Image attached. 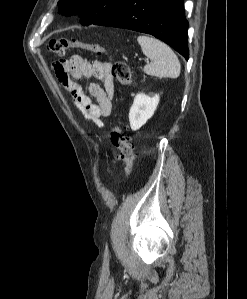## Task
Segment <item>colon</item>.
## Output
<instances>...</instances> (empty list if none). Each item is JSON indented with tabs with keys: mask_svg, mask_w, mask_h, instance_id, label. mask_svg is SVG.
I'll return each instance as SVG.
<instances>
[{
	"mask_svg": "<svg viewBox=\"0 0 247 299\" xmlns=\"http://www.w3.org/2000/svg\"><path fill=\"white\" fill-rule=\"evenodd\" d=\"M70 48H81L97 56L106 54V50L99 44L88 43L68 38H53L47 44V49L54 54L62 56ZM110 75L121 85L128 87L132 83V73L129 65L124 61H115L110 68ZM110 140L119 151V156L125 164V174L129 176L134 167L135 153L132 143L126 133L125 126L114 124L110 130Z\"/></svg>",
	"mask_w": 247,
	"mask_h": 299,
	"instance_id": "1",
	"label": "colon"
}]
</instances>
